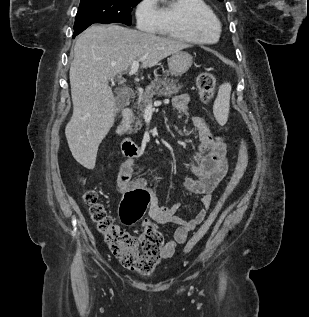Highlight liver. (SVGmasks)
I'll use <instances>...</instances> for the list:
<instances>
[{"mask_svg": "<svg viewBox=\"0 0 309 317\" xmlns=\"http://www.w3.org/2000/svg\"><path fill=\"white\" fill-rule=\"evenodd\" d=\"M190 45L179 40L125 28L92 25L76 40L70 66L73 115L65 135L77 162L93 169L100 143L114 124L116 99L109 80L129 69L134 60L143 68Z\"/></svg>", "mask_w": 309, "mask_h": 317, "instance_id": "6515ba94", "label": "liver"}]
</instances>
